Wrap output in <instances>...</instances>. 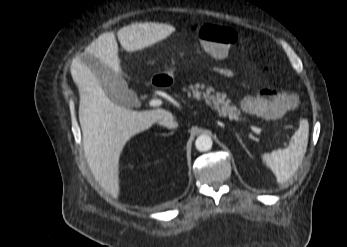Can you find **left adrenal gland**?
I'll use <instances>...</instances> for the list:
<instances>
[{"mask_svg": "<svg viewBox=\"0 0 347 247\" xmlns=\"http://www.w3.org/2000/svg\"><path fill=\"white\" fill-rule=\"evenodd\" d=\"M237 139L239 140L240 144L242 145V147L245 149V151L247 152V154L250 155V152L248 151V149L246 148L245 144L243 143L242 139L240 138V135L236 132L235 133Z\"/></svg>", "mask_w": 347, "mask_h": 247, "instance_id": "a2214340", "label": "left adrenal gland"}]
</instances>
